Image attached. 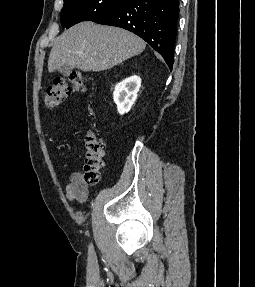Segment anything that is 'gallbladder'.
Returning a JSON list of instances; mask_svg holds the SVG:
<instances>
[{
    "mask_svg": "<svg viewBox=\"0 0 255 287\" xmlns=\"http://www.w3.org/2000/svg\"><path fill=\"white\" fill-rule=\"evenodd\" d=\"M57 70L60 72V74H63V76H68V74H71L74 68L73 66H67V64H65V66H60V68H57Z\"/></svg>",
    "mask_w": 255,
    "mask_h": 287,
    "instance_id": "gallbladder-1",
    "label": "gallbladder"
}]
</instances>
